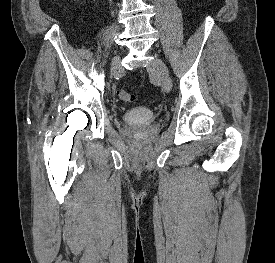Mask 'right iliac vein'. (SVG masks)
<instances>
[{"label": "right iliac vein", "mask_w": 275, "mask_h": 263, "mask_svg": "<svg viewBox=\"0 0 275 263\" xmlns=\"http://www.w3.org/2000/svg\"><path fill=\"white\" fill-rule=\"evenodd\" d=\"M119 63H120V57L119 56L114 57L111 64V71H115L118 68Z\"/></svg>", "instance_id": "63e3f726"}]
</instances>
